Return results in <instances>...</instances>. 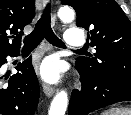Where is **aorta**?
Masks as SVG:
<instances>
[{"mask_svg":"<svg viewBox=\"0 0 131 115\" xmlns=\"http://www.w3.org/2000/svg\"><path fill=\"white\" fill-rule=\"evenodd\" d=\"M62 22H71L74 19V11L69 7H62L58 11ZM68 104V95L61 91L53 98L48 115H65Z\"/></svg>","mask_w":131,"mask_h":115,"instance_id":"1","label":"aorta"}]
</instances>
